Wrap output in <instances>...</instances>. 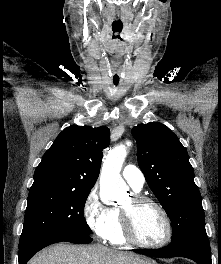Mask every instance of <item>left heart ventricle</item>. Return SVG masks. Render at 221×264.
<instances>
[{
	"label": "left heart ventricle",
	"mask_w": 221,
	"mask_h": 264,
	"mask_svg": "<svg viewBox=\"0 0 221 264\" xmlns=\"http://www.w3.org/2000/svg\"><path fill=\"white\" fill-rule=\"evenodd\" d=\"M122 209L133 213L134 227L137 237L146 243L154 244L162 241L166 235V224L159 210L151 204L134 206L127 200Z\"/></svg>",
	"instance_id": "b2bd125f"
}]
</instances>
